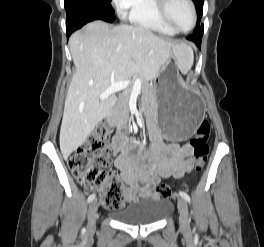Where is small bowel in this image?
<instances>
[{"label":"small bowel","instance_id":"1","mask_svg":"<svg viewBox=\"0 0 264 247\" xmlns=\"http://www.w3.org/2000/svg\"><path fill=\"white\" fill-rule=\"evenodd\" d=\"M149 135V150L123 132L113 137L115 167L126 184L125 197L129 203L136 202L139 197L158 198L155 187L161 178L180 179L193 168L189 144L164 141L155 125H150Z\"/></svg>","mask_w":264,"mask_h":247}]
</instances>
